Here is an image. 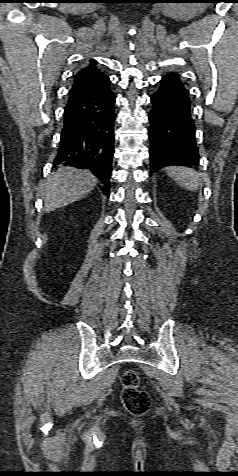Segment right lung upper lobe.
<instances>
[{
    "label": "right lung upper lobe",
    "mask_w": 238,
    "mask_h": 476,
    "mask_svg": "<svg viewBox=\"0 0 238 476\" xmlns=\"http://www.w3.org/2000/svg\"><path fill=\"white\" fill-rule=\"evenodd\" d=\"M96 63V61L90 60L87 67L82 68L76 75H74L73 85L69 92L67 104H70L83 97L84 94L95 88L97 84L106 77L95 66Z\"/></svg>",
    "instance_id": "obj_1"
}]
</instances>
